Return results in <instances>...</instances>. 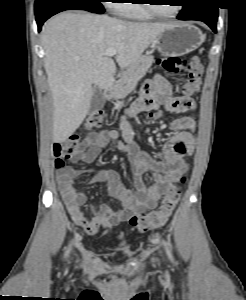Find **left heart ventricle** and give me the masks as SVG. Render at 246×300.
Segmentation results:
<instances>
[{"label":"left heart ventricle","mask_w":246,"mask_h":300,"mask_svg":"<svg viewBox=\"0 0 246 300\" xmlns=\"http://www.w3.org/2000/svg\"><path fill=\"white\" fill-rule=\"evenodd\" d=\"M158 2L164 3L165 5H156L158 10L164 14H172L176 9L177 5H175V1H170V0H159ZM167 3L171 5H167ZM174 4V5H172Z\"/></svg>","instance_id":"1"}]
</instances>
